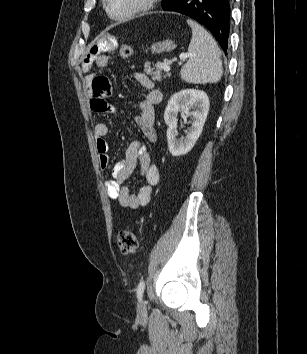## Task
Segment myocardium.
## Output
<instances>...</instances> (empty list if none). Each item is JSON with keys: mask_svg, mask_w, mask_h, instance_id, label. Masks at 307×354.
Listing matches in <instances>:
<instances>
[{"mask_svg": "<svg viewBox=\"0 0 307 354\" xmlns=\"http://www.w3.org/2000/svg\"><path fill=\"white\" fill-rule=\"evenodd\" d=\"M157 0H141V2L133 8L131 11L122 14V15H114L111 13L110 8H109V0H103V6L104 9L108 15L109 18H111L114 21H126L131 18H134L142 13H145L152 9L154 5L156 4Z\"/></svg>", "mask_w": 307, "mask_h": 354, "instance_id": "f54148a6", "label": "myocardium"}]
</instances>
